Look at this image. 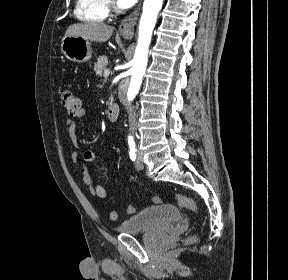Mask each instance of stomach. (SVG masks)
Returning a JSON list of instances; mask_svg holds the SVG:
<instances>
[{
	"instance_id": "obj_1",
	"label": "stomach",
	"mask_w": 288,
	"mask_h": 280,
	"mask_svg": "<svg viewBox=\"0 0 288 280\" xmlns=\"http://www.w3.org/2000/svg\"><path fill=\"white\" fill-rule=\"evenodd\" d=\"M61 50L67 59L83 63L92 57L91 44L88 40L77 36H65L61 41Z\"/></svg>"
}]
</instances>
